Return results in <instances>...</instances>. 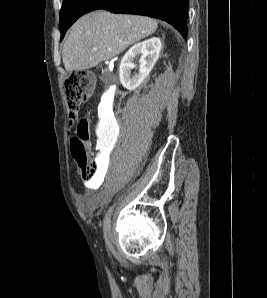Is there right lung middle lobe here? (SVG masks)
Returning <instances> with one entry per match:
<instances>
[{
	"label": "right lung middle lobe",
	"mask_w": 267,
	"mask_h": 298,
	"mask_svg": "<svg viewBox=\"0 0 267 298\" xmlns=\"http://www.w3.org/2000/svg\"><path fill=\"white\" fill-rule=\"evenodd\" d=\"M97 0H63L60 10L61 40L67 29L82 15L90 12Z\"/></svg>",
	"instance_id": "obj_1"
}]
</instances>
